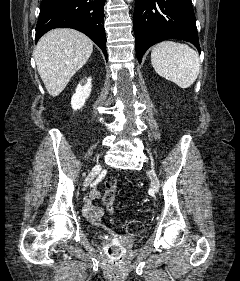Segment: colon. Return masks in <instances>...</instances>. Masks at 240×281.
Segmentation results:
<instances>
[{"mask_svg":"<svg viewBox=\"0 0 240 281\" xmlns=\"http://www.w3.org/2000/svg\"><path fill=\"white\" fill-rule=\"evenodd\" d=\"M117 192V181L115 178H108L105 182V187L102 195V201L109 212L114 209ZM126 232L132 235H137L142 232L143 224L139 220H130L125 224Z\"/></svg>","mask_w":240,"mask_h":281,"instance_id":"obj_1","label":"colon"}]
</instances>
